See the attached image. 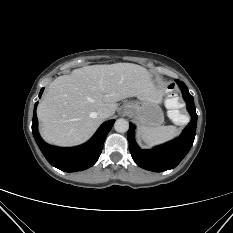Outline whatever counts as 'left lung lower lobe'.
Wrapping results in <instances>:
<instances>
[{
	"label": "left lung lower lobe",
	"mask_w": 233,
	"mask_h": 233,
	"mask_svg": "<svg viewBox=\"0 0 233 233\" xmlns=\"http://www.w3.org/2000/svg\"><path fill=\"white\" fill-rule=\"evenodd\" d=\"M176 82L182 90L183 98L187 102V109L192 117L190 123L186 126L179 138L157 146L152 150H142L135 141L134 126L130 124V128L127 132L129 150L133 160L143 169L154 172H163L173 169L181 162L193 145L197 124L194 99L184 82L179 80H176Z\"/></svg>",
	"instance_id": "left-lung-lower-lobe-1"
}]
</instances>
